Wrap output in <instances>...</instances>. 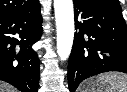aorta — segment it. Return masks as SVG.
I'll list each match as a JSON object with an SVG mask.
<instances>
[{"label":"aorta","instance_id":"762f6f07","mask_svg":"<svg viewBox=\"0 0 127 92\" xmlns=\"http://www.w3.org/2000/svg\"><path fill=\"white\" fill-rule=\"evenodd\" d=\"M57 27V53L62 61L68 59L74 39V10L72 0H54Z\"/></svg>","mask_w":127,"mask_h":92}]
</instances>
